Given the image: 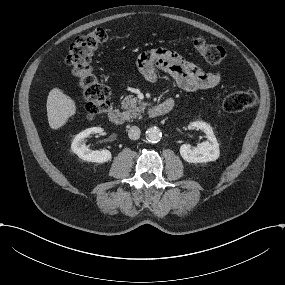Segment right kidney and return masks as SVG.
<instances>
[{"label":"right kidney","instance_id":"ca27d5eb","mask_svg":"<svg viewBox=\"0 0 285 285\" xmlns=\"http://www.w3.org/2000/svg\"><path fill=\"white\" fill-rule=\"evenodd\" d=\"M102 129L98 127H93L82 131L77 134L73 139L71 144V150L76 154L80 159L87 162L94 163H105L111 161L112 154L108 150H91L88 145H86L85 140L91 134L101 133Z\"/></svg>","mask_w":285,"mask_h":285}]
</instances>
